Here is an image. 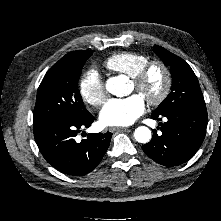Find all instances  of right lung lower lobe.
Instances as JSON below:
<instances>
[{
    "label": "right lung lower lobe",
    "mask_w": 221,
    "mask_h": 221,
    "mask_svg": "<svg viewBox=\"0 0 221 221\" xmlns=\"http://www.w3.org/2000/svg\"><path fill=\"white\" fill-rule=\"evenodd\" d=\"M91 113L81 118L59 120L34 127L35 141L46 161L64 174L82 176L91 172L106 153L112 133L88 134L78 142L75 137L94 121Z\"/></svg>",
    "instance_id": "1"
}]
</instances>
